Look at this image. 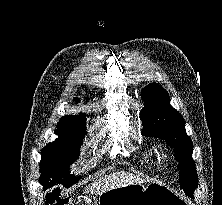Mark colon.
Listing matches in <instances>:
<instances>
[{"instance_id":"5ec220e1","label":"colon","mask_w":222,"mask_h":205,"mask_svg":"<svg viewBox=\"0 0 222 205\" xmlns=\"http://www.w3.org/2000/svg\"><path fill=\"white\" fill-rule=\"evenodd\" d=\"M44 205H72L67 198L60 197L58 192H48L45 195Z\"/></svg>"}]
</instances>
